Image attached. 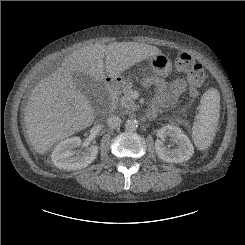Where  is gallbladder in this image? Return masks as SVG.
<instances>
[{
  "mask_svg": "<svg viewBox=\"0 0 245 245\" xmlns=\"http://www.w3.org/2000/svg\"><path fill=\"white\" fill-rule=\"evenodd\" d=\"M73 79L77 89L87 97L96 99L102 93L100 85L85 73L74 72Z\"/></svg>",
  "mask_w": 245,
  "mask_h": 245,
  "instance_id": "obj_1",
  "label": "gallbladder"
}]
</instances>
